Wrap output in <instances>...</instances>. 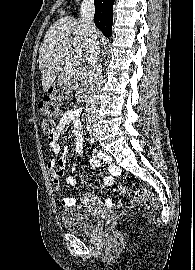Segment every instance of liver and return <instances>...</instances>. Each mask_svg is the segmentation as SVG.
Returning a JSON list of instances; mask_svg holds the SVG:
<instances>
[{
  "label": "liver",
  "mask_w": 195,
  "mask_h": 270,
  "mask_svg": "<svg viewBox=\"0 0 195 270\" xmlns=\"http://www.w3.org/2000/svg\"><path fill=\"white\" fill-rule=\"evenodd\" d=\"M98 35V31L96 30ZM88 33L81 21L70 16L58 19L46 32L39 49V69L42 73L43 90L47 91L54 83L62 65L70 57L68 49L87 52Z\"/></svg>",
  "instance_id": "obj_1"
}]
</instances>
